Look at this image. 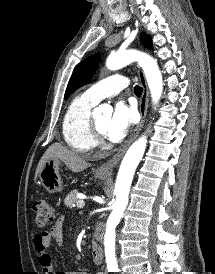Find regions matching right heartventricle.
I'll use <instances>...</instances> for the list:
<instances>
[{
  "label": "right heart ventricle",
  "mask_w": 215,
  "mask_h": 274,
  "mask_svg": "<svg viewBox=\"0 0 215 274\" xmlns=\"http://www.w3.org/2000/svg\"><path fill=\"white\" fill-rule=\"evenodd\" d=\"M95 104L85 94H81L72 99L64 114L63 138L77 152L87 153L95 146V138L90 130L91 110Z\"/></svg>",
  "instance_id": "e07e8e85"
}]
</instances>
